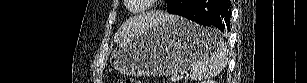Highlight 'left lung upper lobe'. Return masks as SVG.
<instances>
[{
	"mask_svg": "<svg viewBox=\"0 0 307 83\" xmlns=\"http://www.w3.org/2000/svg\"><path fill=\"white\" fill-rule=\"evenodd\" d=\"M166 2H167V7H169L171 3L173 2V0H166Z\"/></svg>",
	"mask_w": 307,
	"mask_h": 83,
	"instance_id": "left-lung-upper-lobe-1",
	"label": "left lung upper lobe"
}]
</instances>
